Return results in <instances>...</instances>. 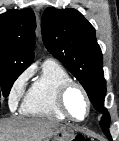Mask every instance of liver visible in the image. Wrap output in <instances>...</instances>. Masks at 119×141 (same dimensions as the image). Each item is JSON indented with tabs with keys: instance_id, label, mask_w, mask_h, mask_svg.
Returning a JSON list of instances; mask_svg holds the SVG:
<instances>
[{
	"instance_id": "1",
	"label": "liver",
	"mask_w": 119,
	"mask_h": 141,
	"mask_svg": "<svg viewBox=\"0 0 119 141\" xmlns=\"http://www.w3.org/2000/svg\"><path fill=\"white\" fill-rule=\"evenodd\" d=\"M45 118H12L0 121V141H43L52 131L62 127Z\"/></svg>"
}]
</instances>
